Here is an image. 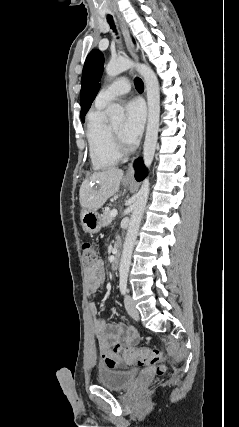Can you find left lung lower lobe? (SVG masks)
<instances>
[{
  "instance_id": "obj_1",
  "label": "left lung lower lobe",
  "mask_w": 239,
  "mask_h": 427,
  "mask_svg": "<svg viewBox=\"0 0 239 427\" xmlns=\"http://www.w3.org/2000/svg\"><path fill=\"white\" fill-rule=\"evenodd\" d=\"M135 167V178L137 181L143 180L146 175V168L141 159H137L134 164Z\"/></svg>"
}]
</instances>
